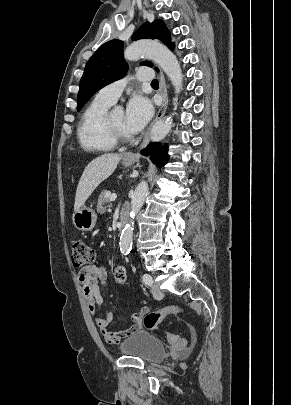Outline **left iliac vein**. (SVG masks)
<instances>
[{"mask_svg": "<svg viewBox=\"0 0 291 405\" xmlns=\"http://www.w3.org/2000/svg\"><path fill=\"white\" fill-rule=\"evenodd\" d=\"M151 292L155 298H161L163 296V292L160 289L158 284H153L151 287Z\"/></svg>", "mask_w": 291, "mask_h": 405, "instance_id": "4c4485c4", "label": "left iliac vein"}]
</instances>
